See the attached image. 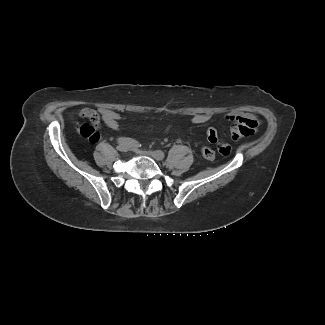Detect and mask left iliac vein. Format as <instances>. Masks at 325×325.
Masks as SVG:
<instances>
[{"mask_svg":"<svg viewBox=\"0 0 325 325\" xmlns=\"http://www.w3.org/2000/svg\"><path fill=\"white\" fill-rule=\"evenodd\" d=\"M132 150L137 152L138 154L152 157L156 161L160 160V158H159L156 151H145V150H139V149H136V148H133Z\"/></svg>","mask_w":325,"mask_h":325,"instance_id":"obj_1","label":"left iliac vein"}]
</instances>
